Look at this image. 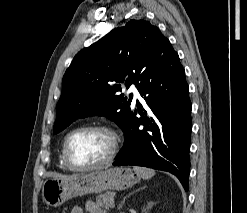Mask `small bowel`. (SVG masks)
<instances>
[{"mask_svg": "<svg viewBox=\"0 0 247 213\" xmlns=\"http://www.w3.org/2000/svg\"><path fill=\"white\" fill-rule=\"evenodd\" d=\"M88 213H105L102 209L94 202H88L86 205ZM70 213H84L83 209L79 206H74Z\"/></svg>", "mask_w": 247, "mask_h": 213, "instance_id": "c3829d8e", "label": "small bowel"}]
</instances>
